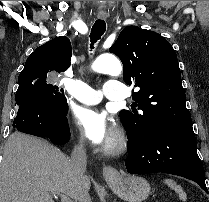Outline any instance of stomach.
<instances>
[{
  "instance_id": "stomach-1",
  "label": "stomach",
  "mask_w": 209,
  "mask_h": 202,
  "mask_svg": "<svg viewBox=\"0 0 209 202\" xmlns=\"http://www.w3.org/2000/svg\"><path fill=\"white\" fill-rule=\"evenodd\" d=\"M106 180L111 190L128 202H142L151 193L149 182L139 176L120 175L116 179L106 178Z\"/></svg>"
}]
</instances>
